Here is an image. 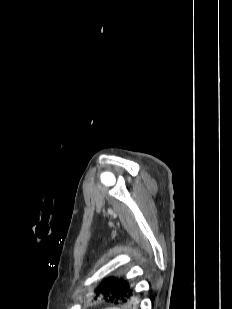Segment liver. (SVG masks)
I'll return each instance as SVG.
<instances>
[{"label":"liver","mask_w":232,"mask_h":309,"mask_svg":"<svg viewBox=\"0 0 232 309\" xmlns=\"http://www.w3.org/2000/svg\"><path fill=\"white\" fill-rule=\"evenodd\" d=\"M106 309H120L118 307H111V308H106Z\"/></svg>","instance_id":"6515ba94"}]
</instances>
